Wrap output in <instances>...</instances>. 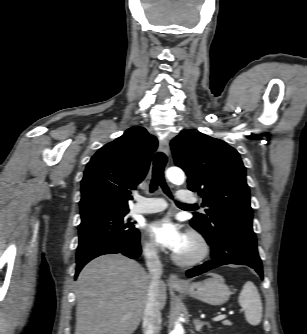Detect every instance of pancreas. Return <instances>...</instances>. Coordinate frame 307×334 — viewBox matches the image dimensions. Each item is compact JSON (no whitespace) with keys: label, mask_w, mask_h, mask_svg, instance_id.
I'll use <instances>...</instances> for the list:
<instances>
[{"label":"pancreas","mask_w":307,"mask_h":334,"mask_svg":"<svg viewBox=\"0 0 307 334\" xmlns=\"http://www.w3.org/2000/svg\"><path fill=\"white\" fill-rule=\"evenodd\" d=\"M224 325H227V326H231L232 325V322L229 321V320H225L222 322Z\"/></svg>","instance_id":"1"}]
</instances>
